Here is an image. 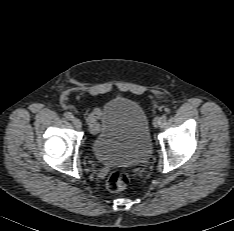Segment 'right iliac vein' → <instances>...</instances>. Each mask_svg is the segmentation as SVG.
<instances>
[{
  "mask_svg": "<svg viewBox=\"0 0 234 231\" xmlns=\"http://www.w3.org/2000/svg\"><path fill=\"white\" fill-rule=\"evenodd\" d=\"M72 123L77 129H81L82 123L78 118H73Z\"/></svg>",
  "mask_w": 234,
  "mask_h": 231,
  "instance_id": "right-iliac-vein-1",
  "label": "right iliac vein"
}]
</instances>
